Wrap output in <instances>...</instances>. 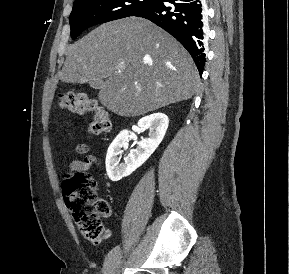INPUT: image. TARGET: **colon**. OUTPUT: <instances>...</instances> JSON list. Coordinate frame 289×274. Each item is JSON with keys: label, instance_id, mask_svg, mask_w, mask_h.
<instances>
[{"label": "colon", "instance_id": "1", "mask_svg": "<svg viewBox=\"0 0 289 274\" xmlns=\"http://www.w3.org/2000/svg\"><path fill=\"white\" fill-rule=\"evenodd\" d=\"M59 104L62 109L73 113H90L89 133L98 135L110 130L109 113L86 93H62ZM62 187L65 203L81 234L91 241L100 239L104 231L102 219L110 215V206L99 198L95 179L82 172H68L64 175Z\"/></svg>", "mask_w": 289, "mask_h": 274}]
</instances>
